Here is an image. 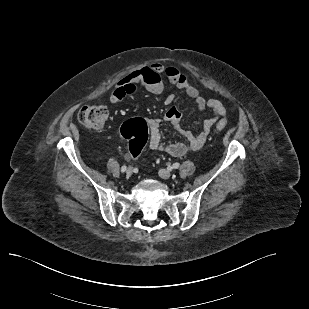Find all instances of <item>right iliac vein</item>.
Wrapping results in <instances>:
<instances>
[{
	"mask_svg": "<svg viewBox=\"0 0 309 309\" xmlns=\"http://www.w3.org/2000/svg\"><path fill=\"white\" fill-rule=\"evenodd\" d=\"M133 172V169L131 167H129L127 170H126V176L129 177Z\"/></svg>",
	"mask_w": 309,
	"mask_h": 309,
	"instance_id": "63e3f726",
	"label": "right iliac vein"
}]
</instances>
